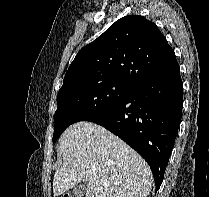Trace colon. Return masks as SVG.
Listing matches in <instances>:
<instances>
[{
  "label": "colon",
  "instance_id": "1",
  "mask_svg": "<svg viewBox=\"0 0 209 197\" xmlns=\"http://www.w3.org/2000/svg\"><path fill=\"white\" fill-rule=\"evenodd\" d=\"M64 197H75V196H72V195H66V196H64Z\"/></svg>",
  "mask_w": 209,
  "mask_h": 197
}]
</instances>
